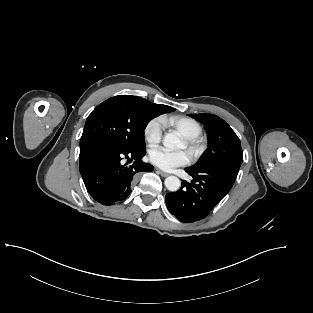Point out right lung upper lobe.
I'll return each mask as SVG.
<instances>
[{
  "label": "right lung upper lobe",
  "instance_id": "cb5924a9",
  "mask_svg": "<svg viewBox=\"0 0 313 313\" xmlns=\"http://www.w3.org/2000/svg\"><path fill=\"white\" fill-rule=\"evenodd\" d=\"M154 107L157 111H159L161 114L163 113H168V112H172L174 111L175 109L170 107V106H166V105H162V104H154Z\"/></svg>",
  "mask_w": 313,
  "mask_h": 313
}]
</instances>
